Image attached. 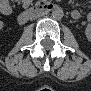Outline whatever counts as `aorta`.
Listing matches in <instances>:
<instances>
[{
  "label": "aorta",
  "mask_w": 91,
  "mask_h": 91,
  "mask_svg": "<svg viewBox=\"0 0 91 91\" xmlns=\"http://www.w3.org/2000/svg\"><path fill=\"white\" fill-rule=\"evenodd\" d=\"M52 16L54 19H57V20L62 19L64 16V12H63L62 8H60V7L54 8L52 11Z\"/></svg>",
  "instance_id": "obj_1"
}]
</instances>
